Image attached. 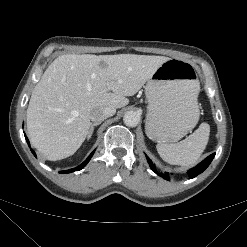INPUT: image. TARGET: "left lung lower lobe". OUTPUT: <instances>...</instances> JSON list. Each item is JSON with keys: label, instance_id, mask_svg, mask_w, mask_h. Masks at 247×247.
Returning <instances> with one entry per match:
<instances>
[{"label": "left lung lower lobe", "instance_id": "0a47b994", "mask_svg": "<svg viewBox=\"0 0 247 247\" xmlns=\"http://www.w3.org/2000/svg\"><path fill=\"white\" fill-rule=\"evenodd\" d=\"M215 156V153L209 155L205 160H203L200 164H198L196 167L190 169L188 171V174L190 176V178H194L196 177L197 175H199L200 173H202L208 166L209 164L211 163V161L213 160ZM147 161L150 165V168L152 169V171H154L157 175H159V173L155 170V167L152 163V161L150 160L149 157H147ZM160 176H162L164 179L168 180L169 179V174L168 173H165V174H160Z\"/></svg>", "mask_w": 247, "mask_h": 247}]
</instances>
